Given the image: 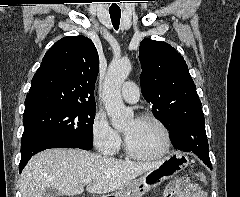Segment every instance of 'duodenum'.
<instances>
[{
  "mask_svg": "<svg viewBox=\"0 0 240 197\" xmlns=\"http://www.w3.org/2000/svg\"><path fill=\"white\" fill-rule=\"evenodd\" d=\"M103 197H112V196H103Z\"/></svg>",
  "mask_w": 240,
  "mask_h": 197,
  "instance_id": "410a0bca",
  "label": "duodenum"
}]
</instances>
